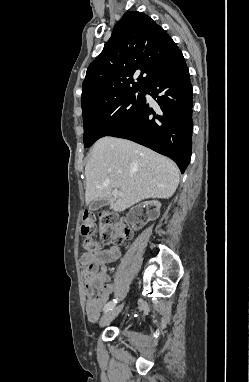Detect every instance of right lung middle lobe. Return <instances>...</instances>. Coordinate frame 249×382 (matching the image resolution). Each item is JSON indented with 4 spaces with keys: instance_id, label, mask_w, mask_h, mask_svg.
I'll return each mask as SVG.
<instances>
[{
    "instance_id": "dd1d6c3e",
    "label": "right lung middle lobe",
    "mask_w": 249,
    "mask_h": 382,
    "mask_svg": "<svg viewBox=\"0 0 249 382\" xmlns=\"http://www.w3.org/2000/svg\"><path fill=\"white\" fill-rule=\"evenodd\" d=\"M143 99L144 90L134 89L115 99L94 102L82 108L85 148L130 121L139 111Z\"/></svg>"
}]
</instances>
